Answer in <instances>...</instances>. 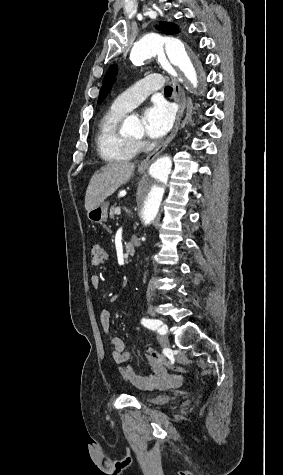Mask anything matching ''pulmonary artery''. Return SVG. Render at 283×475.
<instances>
[{"mask_svg": "<svg viewBox=\"0 0 283 475\" xmlns=\"http://www.w3.org/2000/svg\"><path fill=\"white\" fill-rule=\"evenodd\" d=\"M135 86V87H134ZM165 80H136L135 84L125 89L113 102L115 108L129 111L137 106L146 96H151L156 89H165Z\"/></svg>", "mask_w": 283, "mask_h": 475, "instance_id": "pulmonary-artery-1", "label": "pulmonary artery"}]
</instances>
